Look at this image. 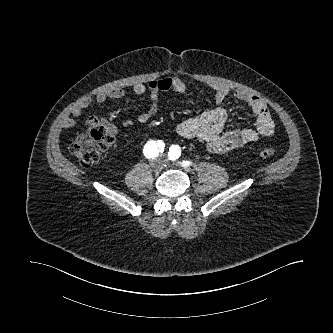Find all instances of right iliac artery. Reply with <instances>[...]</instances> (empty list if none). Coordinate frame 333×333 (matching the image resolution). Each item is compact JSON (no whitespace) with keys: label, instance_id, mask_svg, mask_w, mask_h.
I'll use <instances>...</instances> for the list:
<instances>
[{"label":"right iliac artery","instance_id":"obj_1","mask_svg":"<svg viewBox=\"0 0 333 333\" xmlns=\"http://www.w3.org/2000/svg\"><path fill=\"white\" fill-rule=\"evenodd\" d=\"M165 144L163 141H149L143 149V153L146 158L154 159L159 155V152H163Z\"/></svg>","mask_w":333,"mask_h":333}]
</instances>
